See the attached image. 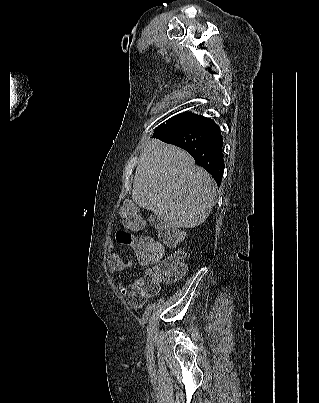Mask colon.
<instances>
[{
	"instance_id": "obj_1",
	"label": "colon",
	"mask_w": 319,
	"mask_h": 403,
	"mask_svg": "<svg viewBox=\"0 0 319 403\" xmlns=\"http://www.w3.org/2000/svg\"><path fill=\"white\" fill-rule=\"evenodd\" d=\"M122 221L132 229H139L142 226L141 216L134 201L126 202L122 212ZM152 223L158 228L160 237L159 234L137 236L138 248L133 249L134 252H142L147 259L154 262V268L148 270L141 278L148 291V296L158 291L161 282L175 281L186 272L181 254L168 258L163 257L164 245L177 246L183 238L182 232L164 225L156 218L152 220Z\"/></svg>"
}]
</instances>
